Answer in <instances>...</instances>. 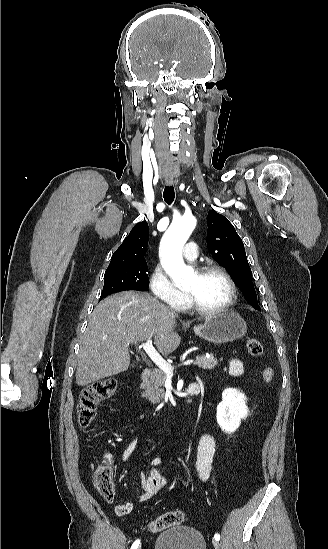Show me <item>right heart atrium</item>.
I'll return each mask as SVG.
<instances>
[{
	"mask_svg": "<svg viewBox=\"0 0 328 549\" xmlns=\"http://www.w3.org/2000/svg\"><path fill=\"white\" fill-rule=\"evenodd\" d=\"M148 287L155 303H176L181 292L176 288L160 262L156 261L150 268Z\"/></svg>",
	"mask_w": 328,
	"mask_h": 549,
	"instance_id": "d8ad5b80",
	"label": "right heart atrium"
}]
</instances>
